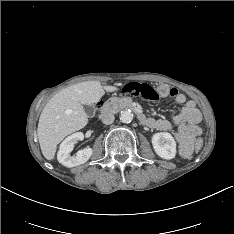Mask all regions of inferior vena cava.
I'll use <instances>...</instances> for the list:
<instances>
[{
	"label": "inferior vena cava",
	"mask_w": 234,
	"mask_h": 234,
	"mask_svg": "<svg viewBox=\"0 0 234 234\" xmlns=\"http://www.w3.org/2000/svg\"><path fill=\"white\" fill-rule=\"evenodd\" d=\"M115 120L114 114L108 112L102 115V122L106 125L112 124Z\"/></svg>",
	"instance_id": "1"
}]
</instances>
